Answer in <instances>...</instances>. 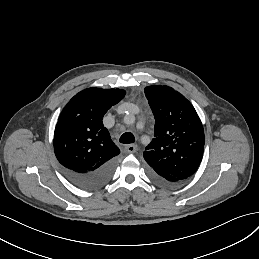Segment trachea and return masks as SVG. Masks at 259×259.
<instances>
[{"label": "trachea", "instance_id": "trachea-1", "mask_svg": "<svg viewBox=\"0 0 259 259\" xmlns=\"http://www.w3.org/2000/svg\"><path fill=\"white\" fill-rule=\"evenodd\" d=\"M119 141L123 144H130L135 142V137L132 133L126 132L121 135Z\"/></svg>", "mask_w": 259, "mask_h": 259}]
</instances>
